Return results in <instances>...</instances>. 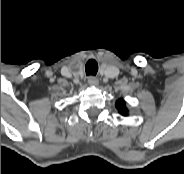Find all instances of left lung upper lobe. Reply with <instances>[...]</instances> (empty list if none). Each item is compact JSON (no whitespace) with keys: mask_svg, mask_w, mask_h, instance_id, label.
Returning a JSON list of instances; mask_svg holds the SVG:
<instances>
[{"mask_svg":"<svg viewBox=\"0 0 184 174\" xmlns=\"http://www.w3.org/2000/svg\"><path fill=\"white\" fill-rule=\"evenodd\" d=\"M115 106L121 115L128 116V109L126 107V102L122 98L116 101Z\"/></svg>","mask_w":184,"mask_h":174,"instance_id":"left-lung-upper-lobe-1","label":"left lung upper lobe"}]
</instances>
